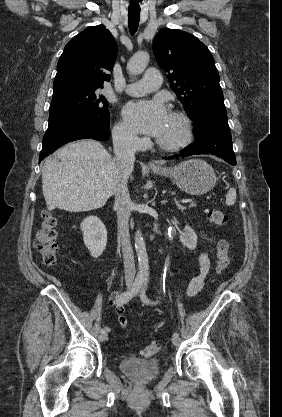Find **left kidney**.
Masks as SVG:
<instances>
[{"instance_id": "5707ae66", "label": "left kidney", "mask_w": 282, "mask_h": 417, "mask_svg": "<svg viewBox=\"0 0 282 417\" xmlns=\"http://www.w3.org/2000/svg\"><path fill=\"white\" fill-rule=\"evenodd\" d=\"M180 241L184 247H187L189 251H194L197 247V235L189 225H186L183 233H180Z\"/></svg>"}]
</instances>
